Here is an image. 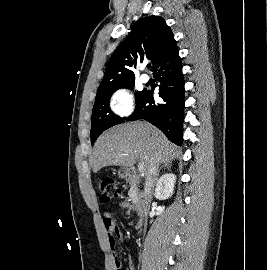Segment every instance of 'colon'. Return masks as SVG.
<instances>
[{"instance_id": "1", "label": "colon", "mask_w": 267, "mask_h": 270, "mask_svg": "<svg viewBox=\"0 0 267 270\" xmlns=\"http://www.w3.org/2000/svg\"><path fill=\"white\" fill-rule=\"evenodd\" d=\"M96 188L99 192L100 202L107 204L112 200L118 198L121 194V190L115 180L111 177H102L96 182ZM117 270L121 268V261L117 257L116 261Z\"/></svg>"}]
</instances>
